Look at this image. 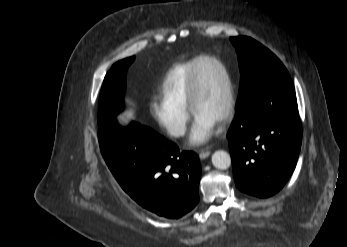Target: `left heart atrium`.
<instances>
[{
    "label": "left heart atrium",
    "mask_w": 347,
    "mask_h": 247,
    "mask_svg": "<svg viewBox=\"0 0 347 247\" xmlns=\"http://www.w3.org/2000/svg\"><path fill=\"white\" fill-rule=\"evenodd\" d=\"M216 125L217 121L213 119L195 115V122L190 135L191 144L197 145L207 142L212 136Z\"/></svg>",
    "instance_id": "1"
}]
</instances>
